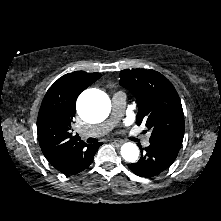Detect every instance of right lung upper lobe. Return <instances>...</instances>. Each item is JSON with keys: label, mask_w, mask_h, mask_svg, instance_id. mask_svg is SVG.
Wrapping results in <instances>:
<instances>
[{"label": "right lung upper lobe", "mask_w": 221, "mask_h": 221, "mask_svg": "<svg viewBox=\"0 0 221 221\" xmlns=\"http://www.w3.org/2000/svg\"><path fill=\"white\" fill-rule=\"evenodd\" d=\"M101 77L100 73L76 71L60 77L42 101L37 134L43 154L53 167L67 169L88 145L71 133L79 94Z\"/></svg>", "instance_id": "1"}]
</instances>
